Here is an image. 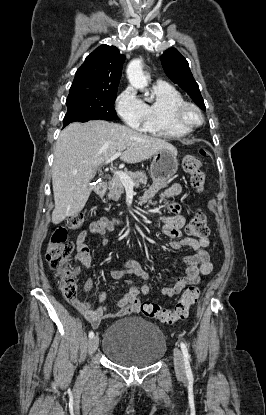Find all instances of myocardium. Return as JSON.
Listing matches in <instances>:
<instances>
[{"label": "myocardium", "instance_id": "obj_1", "mask_svg": "<svg viewBox=\"0 0 266 415\" xmlns=\"http://www.w3.org/2000/svg\"><path fill=\"white\" fill-rule=\"evenodd\" d=\"M194 112L197 116L196 121H192L189 118V113ZM172 117L173 120L182 127L193 129L200 126L203 121L204 117L200 110V108L192 102L182 101L176 104L172 110Z\"/></svg>", "mask_w": 266, "mask_h": 415}]
</instances>
